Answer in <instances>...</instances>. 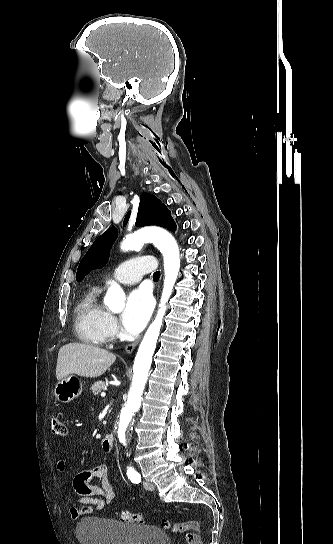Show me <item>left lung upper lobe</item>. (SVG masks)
<instances>
[{
    "instance_id": "5c2ea615",
    "label": "left lung upper lobe",
    "mask_w": 333,
    "mask_h": 544,
    "mask_svg": "<svg viewBox=\"0 0 333 544\" xmlns=\"http://www.w3.org/2000/svg\"><path fill=\"white\" fill-rule=\"evenodd\" d=\"M129 216L130 211L124 219V225L128 221ZM146 225H159L171 231H175L176 229V225L166 206L155 196L143 193L140 197L136 226ZM116 237L117 230L112 227L92 244L78 266L76 273V280L78 282L91 270L102 268L106 264L108 251Z\"/></svg>"
}]
</instances>
